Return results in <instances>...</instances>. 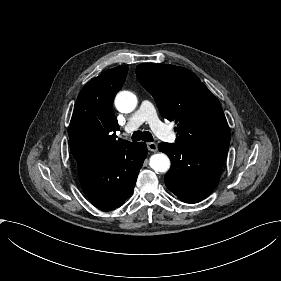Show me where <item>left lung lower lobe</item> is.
Here are the masks:
<instances>
[{
  "label": "left lung lower lobe",
  "instance_id": "left-lung-lower-lobe-1",
  "mask_svg": "<svg viewBox=\"0 0 281 281\" xmlns=\"http://www.w3.org/2000/svg\"><path fill=\"white\" fill-rule=\"evenodd\" d=\"M158 147L171 160L165 184L180 200L197 203L211 194L221 176L227 152L186 150L170 143H160Z\"/></svg>",
  "mask_w": 281,
  "mask_h": 281
}]
</instances>
